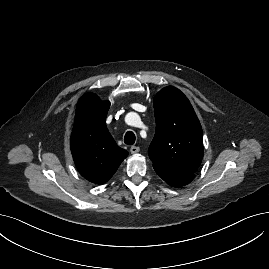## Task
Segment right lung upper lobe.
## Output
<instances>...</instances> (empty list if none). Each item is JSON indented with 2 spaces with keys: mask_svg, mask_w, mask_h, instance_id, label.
<instances>
[{
  "mask_svg": "<svg viewBox=\"0 0 269 269\" xmlns=\"http://www.w3.org/2000/svg\"><path fill=\"white\" fill-rule=\"evenodd\" d=\"M109 101L93 93L81 97L77 104L70 146L80 174L90 182H107L117 171L128 152L120 148L106 127Z\"/></svg>",
  "mask_w": 269,
  "mask_h": 269,
  "instance_id": "cb5924a9",
  "label": "right lung upper lobe"
}]
</instances>
